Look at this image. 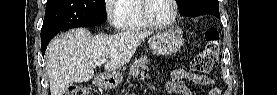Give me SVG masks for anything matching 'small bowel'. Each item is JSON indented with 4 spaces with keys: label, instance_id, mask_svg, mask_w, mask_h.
Wrapping results in <instances>:
<instances>
[{
    "label": "small bowel",
    "instance_id": "small-bowel-1",
    "mask_svg": "<svg viewBox=\"0 0 277 95\" xmlns=\"http://www.w3.org/2000/svg\"><path fill=\"white\" fill-rule=\"evenodd\" d=\"M171 79L165 85V90L167 94H182V95H192L191 90L185 84V80L191 81L197 85H212L214 79L210 76L197 75L188 72L182 68H173L170 71ZM206 94L218 95L221 94L220 90L213 88L210 89Z\"/></svg>",
    "mask_w": 277,
    "mask_h": 95
}]
</instances>
